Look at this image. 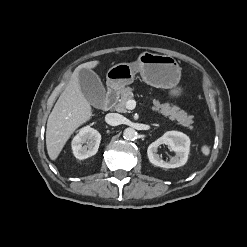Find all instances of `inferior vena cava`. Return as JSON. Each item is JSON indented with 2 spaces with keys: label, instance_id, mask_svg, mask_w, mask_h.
<instances>
[{
  "label": "inferior vena cava",
  "instance_id": "1",
  "mask_svg": "<svg viewBox=\"0 0 247 247\" xmlns=\"http://www.w3.org/2000/svg\"><path fill=\"white\" fill-rule=\"evenodd\" d=\"M105 121L107 124L112 126H117L122 124L123 122V116L118 113H108L105 116Z\"/></svg>",
  "mask_w": 247,
  "mask_h": 247
}]
</instances>
